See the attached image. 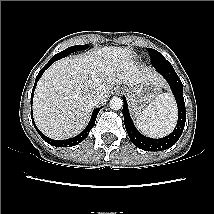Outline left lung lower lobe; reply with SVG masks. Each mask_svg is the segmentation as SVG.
I'll use <instances>...</instances> for the list:
<instances>
[{
	"instance_id": "left-lung-lower-lobe-1",
	"label": "left lung lower lobe",
	"mask_w": 214,
	"mask_h": 214,
	"mask_svg": "<svg viewBox=\"0 0 214 214\" xmlns=\"http://www.w3.org/2000/svg\"><path fill=\"white\" fill-rule=\"evenodd\" d=\"M155 69L167 80L177 102L178 122L174 131L171 134L160 139L148 138L140 134L135 128L133 121L130 117L126 98L123 97L124 102L123 116L128 136L130 137L131 142L136 147L146 151H161L172 147L179 140L186 122V110L183 98V87L180 78L176 74L173 67L155 68Z\"/></svg>"
}]
</instances>
